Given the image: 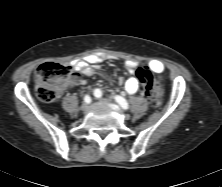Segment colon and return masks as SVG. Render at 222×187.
<instances>
[{"instance_id":"colon-1","label":"colon","mask_w":222,"mask_h":187,"mask_svg":"<svg viewBox=\"0 0 222 187\" xmlns=\"http://www.w3.org/2000/svg\"><path fill=\"white\" fill-rule=\"evenodd\" d=\"M136 76L150 104L159 106L163 97L160 82L147 68L138 69ZM74 79L75 75L68 65L54 61L45 62L36 71V92L42 100L54 101L62 90L72 84Z\"/></svg>"}]
</instances>
